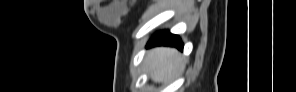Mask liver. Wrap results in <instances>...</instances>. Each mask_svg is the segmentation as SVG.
I'll list each match as a JSON object with an SVG mask.
<instances>
[{
    "mask_svg": "<svg viewBox=\"0 0 296 92\" xmlns=\"http://www.w3.org/2000/svg\"><path fill=\"white\" fill-rule=\"evenodd\" d=\"M145 62L151 78L156 82L167 81L174 74L181 73L186 64L176 49L167 47L150 50Z\"/></svg>",
    "mask_w": 296,
    "mask_h": 92,
    "instance_id": "obj_1",
    "label": "liver"
}]
</instances>
